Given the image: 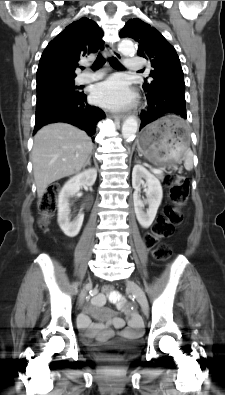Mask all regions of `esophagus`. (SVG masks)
Masks as SVG:
<instances>
[{
  "instance_id": "1",
  "label": "esophagus",
  "mask_w": 225,
  "mask_h": 395,
  "mask_svg": "<svg viewBox=\"0 0 225 395\" xmlns=\"http://www.w3.org/2000/svg\"><path fill=\"white\" fill-rule=\"evenodd\" d=\"M109 49H110V56L115 57L117 59L122 58L121 54L118 51H116L113 47L110 46ZM113 117L118 118L120 120H124L126 118V114L125 113H118V114H115Z\"/></svg>"
}]
</instances>
